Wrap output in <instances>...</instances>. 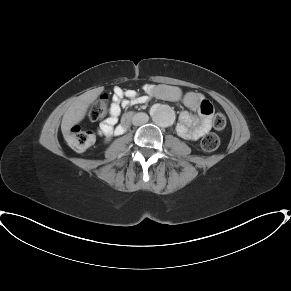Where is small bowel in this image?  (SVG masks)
<instances>
[{
  "label": "small bowel",
  "instance_id": "1",
  "mask_svg": "<svg viewBox=\"0 0 291 291\" xmlns=\"http://www.w3.org/2000/svg\"><path fill=\"white\" fill-rule=\"evenodd\" d=\"M144 92L147 96H153L165 101H181L195 115L187 111L181 112L175 125L176 132L184 139L195 141L207 134L212 127L211 117L205 113L210 103L197 91L182 93L180 88L173 85L162 84L158 86L146 85ZM145 97L136 91L124 90L120 87L113 89L112 102L110 105V116L100 124L99 131L106 135H118L122 133L121 125H117L122 107L142 103Z\"/></svg>",
  "mask_w": 291,
  "mask_h": 291
}]
</instances>
